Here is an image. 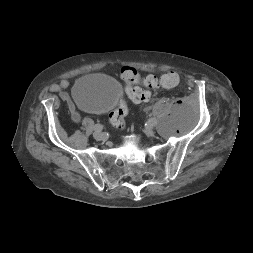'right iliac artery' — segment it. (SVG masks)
<instances>
[{
	"label": "right iliac artery",
	"mask_w": 253,
	"mask_h": 253,
	"mask_svg": "<svg viewBox=\"0 0 253 253\" xmlns=\"http://www.w3.org/2000/svg\"><path fill=\"white\" fill-rule=\"evenodd\" d=\"M103 129V126L101 125V124H96L95 126H94V130L95 131H97V130H102Z\"/></svg>",
	"instance_id": "obj_1"
}]
</instances>
